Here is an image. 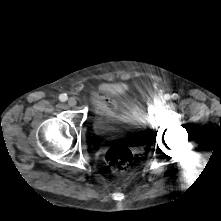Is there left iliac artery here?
Here are the masks:
<instances>
[{
	"label": "left iliac artery",
	"mask_w": 221,
	"mask_h": 221,
	"mask_svg": "<svg viewBox=\"0 0 221 221\" xmlns=\"http://www.w3.org/2000/svg\"><path fill=\"white\" fill-rule=\"evenodd\" d=\"M171 97H172L173 99H177V98H178V95L175 94V93H174L172 96H170L169 94H166V95H165V99H166V100H169Z\"/></svg>",
	"instance_id": "obj_1"
}]
</instances>
